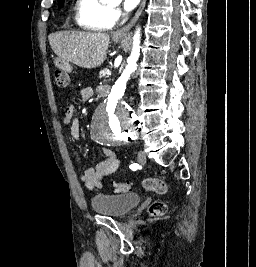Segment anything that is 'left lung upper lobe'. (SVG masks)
Listing matches in <instances>:
<instances>
[{"label": "left lung upper lobe", "instance_id": "1", "mask_svg": "<svg viewBox=\"0 0 256 267\" xmlns=\"http://www.w3.org/2000/svg\"><path fill=\"white\" fill-rule=\"evenodd\" d=\"M58 2H59V7H61L63 4V0H58Z\"/></svg>", "mask_w": 256, "mask_h": 267}]
</instances>
